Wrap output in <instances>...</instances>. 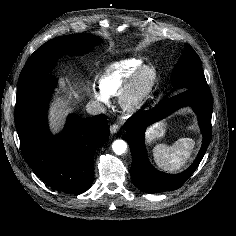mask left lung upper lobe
Returning <instances> with one entry per match:
<instances>
[{"instance_id":"left-lung-upper-lobe-1","label":"left lung upper lobe","mask_w":236,"mask_h":236,"mask_svg":"<svg viewBox=\"0 0 236 236\" xmlns=\"http://www.w3.org/2000/svg\"><path fill=\"white\" fill-rule=\"evenodd\" d=\"M171 81L174 88L183 90L208 86L200 58L189 44H185L184 54L173 69Z\"/></svg>"}]
</instances>
